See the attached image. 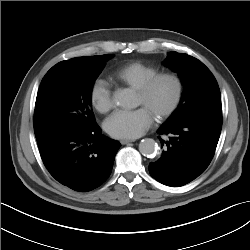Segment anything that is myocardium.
I'll use <instances>...</instances> for the list:
<instances>
[{
	"label": "myocardium",
	"instance_id": "f54148a6",
	"mask_svg": "<svg viewBox=\"0 0 250 250\" xmlns=\"http://www.w3.org/2000/svg\"><path fill=\"white\" fill-rule=\"evenodd\" d=\"M161 81H169L173 84L174 95L169 105L156 115L158 120H164L171 116L179 107L184 94V84L182 79L177 74L170 72L157 73L150 77L139 88H137V92L141 97L146 98L156 84Z\"/></svg>",
	"mask_w": 250,
	"mask_h": 250
}]
</instances>
